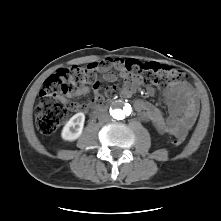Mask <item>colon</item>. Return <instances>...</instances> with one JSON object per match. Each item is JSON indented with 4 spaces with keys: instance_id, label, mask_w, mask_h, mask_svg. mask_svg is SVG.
<instances>
[{
    "instance_id": "1",
    "label": "colon",
    "mask_w": 221,
    "mask_h": 221,
    "mask_svg": "<svg viewBox=\"0 0 221 221\" xmlns=\"http://www.w3.org/2000/svg\"><path fill=\"white\" fill-rule=\"evenodd\" d=\"M126 71L134 78L145 84H154L160 88L179 82L185 78V74L172 67L159 65L154 62H142L138 60L124 61ZM99 82V68L97 64L86 66H73L66 69H58L44 82L39 95V101L35 108V122L37 129L42 134H51L67 118L66 98L77 88L93 86ZM116 88L111 86L106 90L107 94H114ZM182 137H175L174 145H180Z\"/></svg>"
}]
</instances>
